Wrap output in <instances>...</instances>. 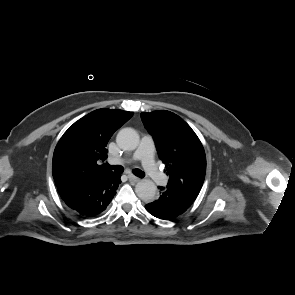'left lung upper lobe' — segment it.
I'll return each instance as SVG.
<instances>
[{
  "mask_svg": "<svg viewBox=\"0 0 295 295\" xmlns=\"http://www.w3.org/2000/svg\"><path fill=\"white\" fill-rule=\"evenodd\" d=\"M141 119L166 165L167 187L198 196L205 178L206 156L195 132L169 111L143 112Z\"/></svg>",
  "mask_w": 295,
  "mask_h": 295,
  "instance_id": "1",
  "label": "left lung upper lobe"
}]
</instances>
